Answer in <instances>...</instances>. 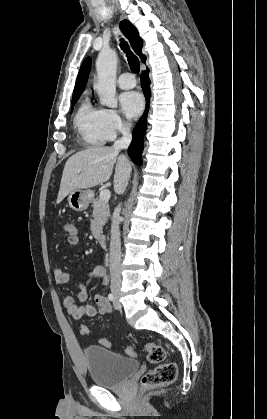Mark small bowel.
<instances>
[{"label":"small bowel","instance_id":"obj_1","mask_svg":"<svg viewBox=\"0 0 267 419\" xmlns=\"http://www.w3.org/2000/svg\"><path fill=\"white\" fill-rule=\"evenodd\" d=\"M55 282L57 284H66L72 282L74 277L72 274L65 272L59 268L53 270ZM93 278L101 279L103 284L109 281L107 270L102 265L95 266L91 271L85 274L84 281L77 282L79 292L76 297L66 296L63 299V306L69 315L79 320L84 316L95 317L105 315L111 311V305L104 295L96 294L94 297L96 305L84 304L88 298L86 284Z\"/></svg>","mask_w":267,"mask_h":419}]
</instances>
